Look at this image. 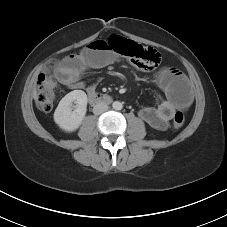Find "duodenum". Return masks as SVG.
Returning a JSON list of instances; mask_svg holds the SVG:
<instances>
[{"instance_id": "duodenum-1", "label": "duodenum", "mask_w": 227, "mask_h": 227, "mask_svg": "<svg viewBox=\"0 0 227 227\" xmlns=\"http://www.w3.org/2000/svg\"><path fill=\"white\" fill-rule=\"evenodd\" d=\"M89 100L93 104H104V103L111 102V97L106 94H100V93L93 92L89 95Z\"/></svg>"}]
</instances>
